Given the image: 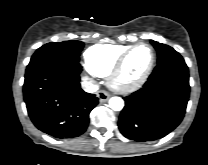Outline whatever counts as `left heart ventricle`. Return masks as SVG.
<instances>
[{
	"label": "left heart ventricle",
	"mask_w": 208,
	"mask_h": 165,
	"mask_svg": "<svg viewBox=\"0 0 208 165\" xmlns=\"http://www.w3.org/2000/svg\"><path fill=\"white\" fill-rule=\"evenodd\" d=\"M151 59V51L147 47L137 48L129 57L122 72L123 81H132L139 77L147 68Z\"/></svg>",
	"instance_id": "left-heart-ventricle-1"
}]
</instances>
